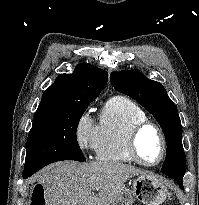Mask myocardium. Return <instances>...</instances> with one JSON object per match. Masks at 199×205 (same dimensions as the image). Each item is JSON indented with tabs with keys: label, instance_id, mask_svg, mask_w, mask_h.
<instances>
[{
	"label": "myocardium",
	"instance_id": "myocardium-1",
	"mask_svg": "<svg viewBox=\"0 0 199 205\" xmlns=\"http://www.w3.org/2000/svg\"><path fill=\"white\" fill-rule=\"evenodd\" d=\"M147 128L154 129L158 133L161 140V145H162L161 155L159 159L155 162H147L143 160L138 152V146H137L138 137L141 134V132H143ZM126 145H127V152L131 157V159L134 162L147 167H154L161 164L165 159L168 150V142L162 128L155 122L149 120H145L143 122L137 123L131 128L127 137Z\"/></svg>",
	"mask_w": 199,
	"mask_h": 205
}]
</instances>
